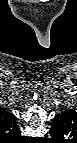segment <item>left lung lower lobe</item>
<instances>
[{
	"label": "left lung lower lobe",
	"mask_w": 77,
	"mask_h": 143,
	"mask_svg": "<svg viewBox=\"0 0 77 143\" xmlns=\"http://www.w3.org/2000/svg\"><path fill=\"white\" fill-rule=\"evenodd\" d=\"M73 116V112L72 111H64L62 112L61 114L57 115L53 122H61V121H66L68 119H70L71 117ZM51 134V133H50ZM52 135V134H51ZM53 137L56 136V135H52Z\"/></svg>",
	"instance_id": "left-lung-lower-lobe-1"
}]
</instances>
